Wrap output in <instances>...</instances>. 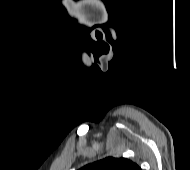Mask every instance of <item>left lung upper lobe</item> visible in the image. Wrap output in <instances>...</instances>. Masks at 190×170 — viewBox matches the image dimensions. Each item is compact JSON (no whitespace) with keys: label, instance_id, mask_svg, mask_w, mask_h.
<instances>
[{"label":"left lung upper lobe","instance_id":"5c2ea615","mask_svg":"<svg viewBox=\"0 0 190 170\" xmlns=\"http://www.w3.org/2000/svg\"><path fill=\"white\" fill-rule=\"evenodd\" d=\"M79 170H141V168L126 158L107 157L88 164Z\"/></svg>","mask_w":190,"mask_h":170}]
</instances>
